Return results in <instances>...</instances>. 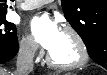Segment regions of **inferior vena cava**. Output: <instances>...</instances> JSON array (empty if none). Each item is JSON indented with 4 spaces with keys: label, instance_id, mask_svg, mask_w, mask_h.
Listing matches in <instances>:
<instances>
[{
    "label": "inferior vena cava",
    "instance_id": "1",
    "mask_svg": "<svg viewBox=\"0 0 107 75\" xmlns=\"http://www.w3.org/2000/svg\"><path fill=\"white\" fill-rule=\"evenodd\" d=\"M36 50L37 46L33 41L20 47L14 75H29L33 71V58Z\"/></svg>",
    "mask_w": 107,
    "mask_h": 75
}]
</instances>
